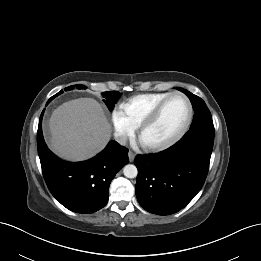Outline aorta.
<instances>
[{
  "label": "aorta",
  "instance_id": "1",
  "mask_svg": "<svg viewBox=\"0 0 261 261\" xmlns=\"http://www.w3.org/2000/svg\"><path fill=\"white\" fill-rule=\"evenodd\" d=\"M123 173H124L125 177L132 179V178H135L137 176L138 170H137V167L135 165L127 164L123 168Z\"/></svg>",
  "mask_w": 261,
  "mask_h": 261
}]
</instances>
